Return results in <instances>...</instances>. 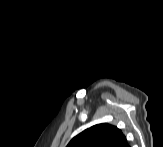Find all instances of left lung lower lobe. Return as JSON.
Instances as JSON below:
<instances>
[{
  "label": "left lung lower lobe",
  "mask_w": 163,
  "mask_h": 147,
  "mask_svg": "<svg viewBox=\"0 0 163 147\" xmlns=\"http://www.w3.org/2000/svg\"><path fill=\"white\" fill-rule=\"evenodd\" d=\"M116 147H129L126 137L123 135Z\"/></svg>",
  "instance_id": "0a47b994"
}]
</instances>
